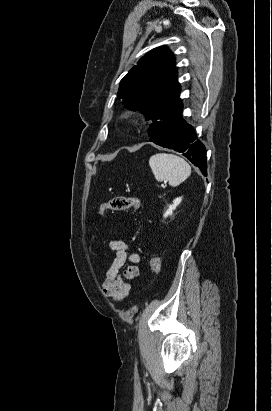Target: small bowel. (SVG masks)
<instances>
[{"label": "small bowel", "instance_id": "obj_1", "mask_svg": "<svg viewBox=\"0 0 272 411\" xmlns=\"http://www.w3.org/2000/svg\"><path fill=\"white\" fill-rule=\"evenodd\" d=\"M108 246L115 254L102 284L103 293L113 303L120 304L130 293V282L136 280L140 274V255L132 251L123 240H111Z\"/></svg>", "mask_w": 272, "mask_h": 411}]
</instances>
